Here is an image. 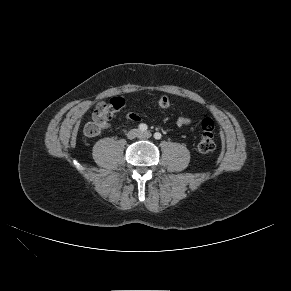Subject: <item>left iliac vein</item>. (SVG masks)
<instances>
[{"label":"left iliac vein","mask_w":291,"mask_h":291,"mask_svg":"<svg viewBox=\"0 0 291 291\" xmlns=\"http://www.w3.org/2000/svg\"><path fill=\"white\" fill-rule=\"evenodd\" d=\"M139 137L140 138H150L151 137V133L149 131L141 132Z\"/></svg>","instance_id":"obj_1"}]
</instances>
